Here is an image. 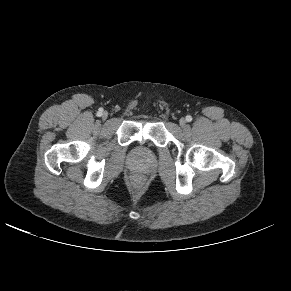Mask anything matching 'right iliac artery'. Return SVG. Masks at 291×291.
I'll use <instances>...</instances> for the list:
<instances>
[{"mask_svg": "<svg viewBox=\"0 0 291 291\" xmlns=\"http://www.w3.org/2000/svg\"><path fill=\"white\" fill-rule=\"evenodd\" d=\"M102 111H103L102 109H99V111L97 112V115L101 116L102 115Z\"/></svg>", "mask_w": 291, "mask_h": 291, "instance_id": "82829eb1", "label": "right iliac artery"}]
</instances>
